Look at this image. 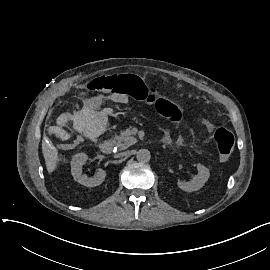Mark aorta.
Wrapping results in <instances>:
<instances>
[{"instance_id": "obj_1", "label": "aorta", "mask_w": 270, "mask_h": 270, "mask_svg": "<svg viewBox=\"0 0 270 270\" xmlns=\"http://www.w3.org/2000/svg\"><path fill=\"white\" fill-rule=\"evenodd\" d=\"M136 157H137V160L140 162H148L151 158V154H150V151L147 149H140L137 152Z\"/></svg>"}]
</instances>
